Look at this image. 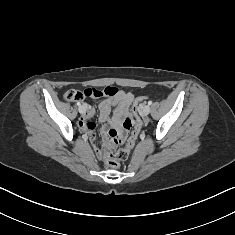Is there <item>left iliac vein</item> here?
<instances>
[{
  "mask_svg": "<svg viewBox=\"0 0 235 235\" xmlns=\"http://www.w3.org/2000/svg\"><path fill=\"white\" fill-rule=\"evenodd\" d=\"M142 112H143L144 115H148L150 113V106L145 105L142 109Z\"/></svg>",
  "mask_w": 235,
  "mask_h": 235,
  "instance_id": "left-iliac-vein-1",
  "label": "left iliac vein"
}]
</instances>
